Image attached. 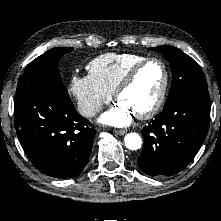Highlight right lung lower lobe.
Here are the masks:
<instances>
[{"mask_svg": "<svg viewBox=\"0 0 221 221\" xmlns=\"http://www.w3.org/2000/svg\"><path fill=\"white\" fill-rule=\"evenodd\" d=\"M17 136L32 164L55 178H72L88 162L96 130L70 99L35 94L15 103Z\"/></svg>", "mask_w": 221, "mask_h": 221, "instance_id": "1", "label": "right lung lower lobe"}]
</instances>
